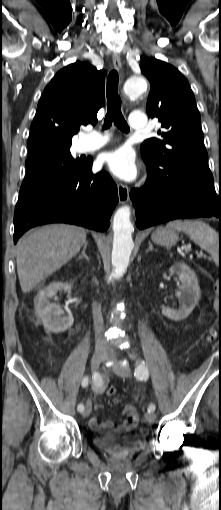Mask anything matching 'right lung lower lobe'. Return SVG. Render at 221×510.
<instances>
[{
	"instance_id": "98d812e1",
	"label": "right lung lower lobe",
	"mask_w": 221,
	"mask_h": 510,
	"mask_svg": "<svg viewBox=\"0 0 221 510\" xmlns=\"http://www.w3.org/2000/svg\"><path fill=\"white\" fill-rule=\"evenodd\" d=\"M88 160L72 180L44 187L30 195L14 213V243L28 229L48 223H70L105 231L118 192L110 175L93 174Z\"/></svg>"
}]
</instances>
